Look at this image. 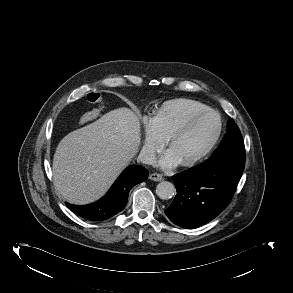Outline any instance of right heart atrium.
I'll return each instance as SVG.
<instances>
[{"mask_svg":"<svg viewBox=\"0 0 293 293\" xmlns=\"http://www.w3.org/2000/svg\"><path fill=\"white\" fill-rule=\"evenodd\" d=\"M143 127V145L141 155L144 161L151 162L156 153L161 150L165 143V139L160 135L156 129L154 120L150 116H144L142 118Z\"/></svg>","mask_w":293,"mask_h":293,"instance_id":"d8ad5b80","label":"right heart atrium"}]
</instances>
